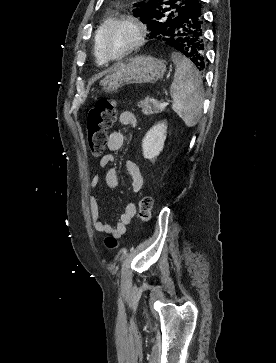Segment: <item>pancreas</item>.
Here are the masks:
<instances>
[{"label":"pancreas","instance_id":"pancreas-1","mask_svg":"<svg viewBox=\"0 0 276 363\" xmlns=\"http://www.w3.org/2000/svg\"><path fill=\"white\" fill-rule=\"evenodd\" d=\"M138 107L145 115L158 114L163 110L162 108H160L159 103L156 100H152L149 98L143 101H139Z\"/></svg>","mask_w":276,"mask_h":363}]
</instances>
